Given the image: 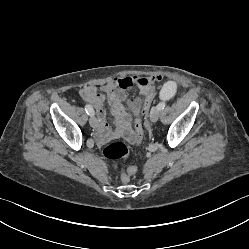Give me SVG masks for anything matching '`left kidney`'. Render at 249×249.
Here are the masks:
<instances>
[{
    "instance_id": "1",
    "label": "left kidney",
    "mask_w": 249,
    "mask_h": 249,
    "mask_svg": "<svg viewBox=\"0 0 249 249\" xmlns=\"http://www.w3.org/2000/svg\"><path fill=\"white\" fill-rule=\"evenodd\" d=\"M177 84L173 80H166L156 91V96L166 105H171L176 100Z\"/></svg>"
}]
</instances>
